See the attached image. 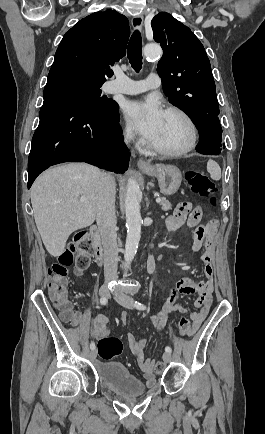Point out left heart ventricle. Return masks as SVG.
I'll return each instance as SVG.
<instances>
[{
	"instance_id": "b2bd125f",
	"label": "left heart ventricle",
	"mask_w": 265,
	"mask_h": 434,
	"mask_svg": "<svg viewBox=\"0 0 265 434\" xmlns=\"http://www.w3.org/2000/svg\"><path fill=\"white\" fill-rule=\"evenodd\" d=\"M188 140V126L176 114H165L156 137L150 143L163 150H176Z\"/></svg>"
}]
</instances>
